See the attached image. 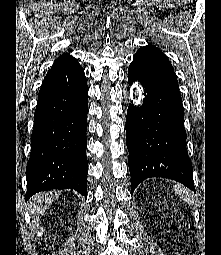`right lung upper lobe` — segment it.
<instances>
[{"mask_svg":"<svg viewBox=\"0 0 221 255\" xmlns=\"http://www.w3.org/2000/svg\"><path fill=\"white\" fill-rule=\"evenodd\" d=\"M72 56H70L68 53L61 55L53 64V66L58 65L68 59H70Z\"/></svg>","mask_w":221,"mask_h":255,"instance_id":"cb5924a9","label":"right lung upper lobe"}]
</instances>
